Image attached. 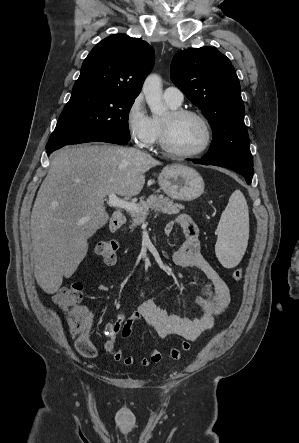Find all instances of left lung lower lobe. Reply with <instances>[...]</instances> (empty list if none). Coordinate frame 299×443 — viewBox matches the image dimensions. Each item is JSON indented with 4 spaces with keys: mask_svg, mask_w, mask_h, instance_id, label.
<instances>
[{
    "mask_svg": "<svg viewBox=\"0 0 299 443\" xmlns=\"http://www.w3.org/2000/svg\"><path fill=\"white\" fill-rule=\"evenodd\" d=\"M193 162L198 163V164H204V165H214V164L206 161L203 158L201 160H193ZM216 166H218V165H216ZM222 167L229 168V169L243 175L248 184H250L252 182L253 166L240 165V166H222Z\"/></svg>",
    "mask_w": 299,
    "mask_h": 443,
    "instance_id": "obj_1",
    "label": "left lung lower lobe"
}]
</instances>
